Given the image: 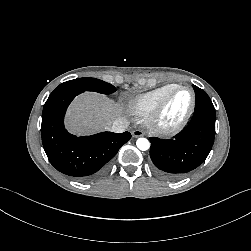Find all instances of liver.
Segmentation results:
<instances>
[{"mask_svg": "<svg viewBox=\"0 0 251 251\" xmlns=\"http://www.w3.org/2000/svg\"><path fill=\"white\" fill-rule=\"evenodd\" d=\"M123 108L98 93L88 92L78 96L67 113L69 130L78 135L109 129L112 123L123 118Z\"/></svg>", "mask_w": 251, "mask_h": 251, "instance_id": "liver-1", "label": "liver"}]
</instances>
